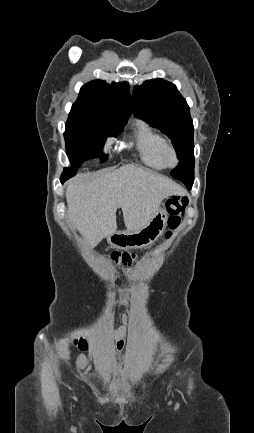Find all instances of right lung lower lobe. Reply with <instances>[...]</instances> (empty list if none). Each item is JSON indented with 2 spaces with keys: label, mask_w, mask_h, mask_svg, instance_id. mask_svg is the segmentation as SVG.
<instances>
[{
  "label": "right lung lower lobe",
  "mask_w": 254,
  "mask_h": 433,
  "mask_svg": "<svg viewBox=\"0 0 254 433\" xmlns=\"http://www.w3.org/2000/svg\"><path fill=\"white\" fill-rule=\"evenodd\" d=\"M76 171L72 169L65 168L63 174L61 175L60 181L61 183H64L69 178L73 177L75 175Z\"/></svg>",
  "instance_id": "right-lung-lower-lobe-1"
}]
</instances>
